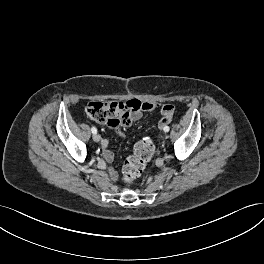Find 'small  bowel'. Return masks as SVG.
Instances as JSON below:
<instances>
[{
	"label": "small bowel",
	"mask_w": 264,
	"mask_h": 264,
	"mask_svg": "<svg viewBox=\"0 0 264 264\" xmlns=\"http://www.w3.org/2000/svg\"><path fill=\"white\" fill-rule=\"evenodd\" d=\"M123 104L127 107V109L130 112L131 122L139 120L144 112H148L156 108H160V112L162 115L161 119H167L168 122L165 124L167 125L171 122L174 114V107L170 104H165L160 106L153 102H142L138 99H131L126 102H123ZM108 146H109L108 141L106 140L103 141L102 143L103 155L105 160L108 163H110L113 160V153L109 150ZM108 172L112 180L117 179V173L112 168H110Z\"/></svg>",
	"instance_id": "small-bowel-1"
}]
</instances>
